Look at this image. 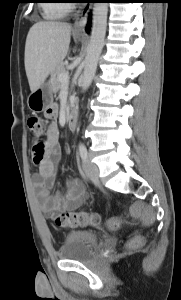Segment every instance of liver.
<instances>
[{
    "label": "liver",
    "instance_id": "liver-1",
    "mask_svg": "<svg viewBox=\"0 0 181 300\" xmlns=\"http://www.w3.org/2000/svg\"><path fill=\"white\" fill-rule=\"evenodd\" d=\"M71 25L41 21L29 30L25 44V70L31 92L37 90L69 51Z\"/></svg>",
    "mask_w": 181,
    "mask_h": 300
}]
</instances>
